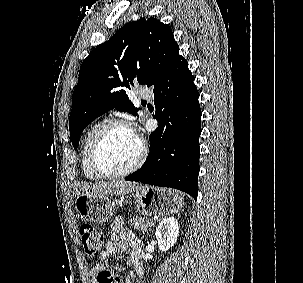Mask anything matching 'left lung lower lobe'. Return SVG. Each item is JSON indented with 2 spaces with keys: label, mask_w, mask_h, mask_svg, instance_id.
Here are the masks:
<instances>
[{
  "label": "left lung lower lobe",
  "mask_w": 303,
  "mask_h": 283,
  "mask_svg": "<svg viewBox=\"0 0 303 283\" xmlns=\"http://www.w3.org/2000/svg\"><path fill=\"white\" fill-rule=\"evenodd\" d=\"M153 93L158 127L149 136L150 153L125 180L175 188L196 200L202 113L194 77L182 56L158 79Z\"/></svg>",
  "instance_id": "obj_1"
}]
</instances>
